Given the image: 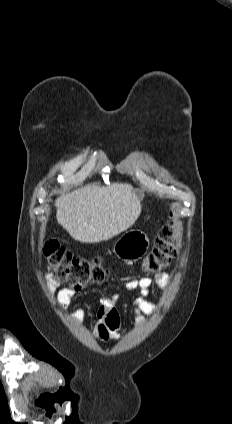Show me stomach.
Here are the masks:
<instances>
[{
    "instance_id": "0dacf381",
    "label": "stomach",
    "mask_w": 232,
    "mask_h": 424,
    "mask_svg": "<svg viewBox=\"0 0 232 424\" xmlns=\"http://www.w3.org/2000/svg\"><path fill=\"white\" fill-rule=\"evenodd\" d=\"M149 239L140 230H131L123 234L114 246V253L125 261H137L148 251Z\"/></svg>"
}]
</instances>
